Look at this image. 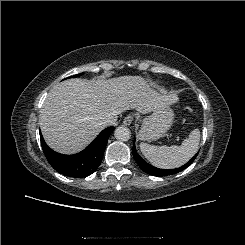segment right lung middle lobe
Returning <instances> with one entry per match:
<instances>
[{"instance_id":"1","label":"right lung middle lobe","mask_w":245,"mask_h":245,"mask_svg":"<svg viewBox=\"0 0 245 245\" xmlns=\"http://www.w3.org/2000/svg\"><path fill=\"white\" fill-rule=\"evenodd\" d=\"M80 75H82V73H81V74H78V75H74V76H72V77H78V76H80Z\"/></svg>"}]
</instances>
